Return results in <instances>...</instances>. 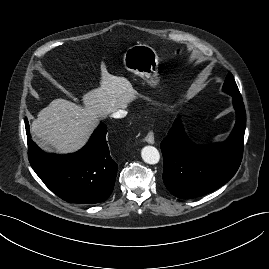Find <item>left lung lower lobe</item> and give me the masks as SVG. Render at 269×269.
Returning <instances> with one entry per match:
<instances>
[{
	"label": "left lung lower lobe",
	"mask_w": 269,
	"mask_h": 269,
	"mask_svg": "<svg viewBox=\"0 0 269 269\" xmlns=\"http://www.w3.org/2000/svg\"><path fill=\"white\" fill-rule=\"evenodd\" d=\"M236 124L223 143L200 146L191 142L177 118L161 142L163 181L174 196L190 199L227 183L238 170L243 154L246 112L243 99L232 96Z\"/></svg>",
	"instance_id": "left-lung-lower-lobe-1"
}]
</instances>
